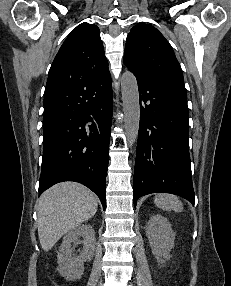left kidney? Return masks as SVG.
<instances>
[{
	"mask_svg": "<svg viewBox=\"0 0 231 286\" xmlns=\"http://www.w3.org/2000/svg\"><path fill=\"white\" fill-rule=\"evenodd\" d=\"M146 234L159 264L170 259V251L174 247L175 233L167 218L162 215H151L147 225Z\"/></svg>",
	"mask_w": 231,
	"mask_h": 286,
	"instance_id": "1",
	"label": "left kidney"
}]
</instances>
